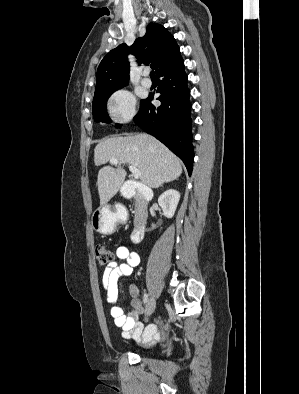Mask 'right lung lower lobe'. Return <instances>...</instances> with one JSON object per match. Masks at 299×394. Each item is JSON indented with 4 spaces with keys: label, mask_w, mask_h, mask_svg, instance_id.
Listing matches in <instances>:
<instances>
[{
    "label": "right lung lower lobe",
    "mask_w": 299,
    "mask_h": 394,
    "mask_svg": "<svg viewBox=\"0 0 299 394\" xmlns=\"http://www.w3.org/2000/svg\"><path fill=\"white\" fill-rule=\"evenodd\" d=\"M159 80L157 98L161 106L151 104L153 94L142 100L134 122L145 132L155 136L175 153L192 172L194 152L192 146L191 118L184 61L180 57L156 74Z\"/></svg>",
    "instance_id": "98d812e1"
}]
</instances>
